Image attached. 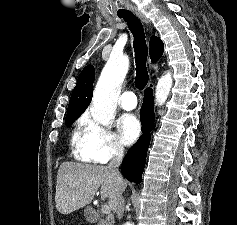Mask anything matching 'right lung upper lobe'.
<instances>
[{
  "instance_id": "right-lung-upper-lobe-1",
  "label": "right lung upper lobe",
  "mask_w": 237,
  "mask_h": 225,
  "mask_svg": "<svg viewBox=\"0 0 237 225\" xmlns=\"http://www.w3.org/2000/svg\"><path fill=\"white\" fill-rule=\"evenodd\" d=\"M164 51L162 41L155 37H151L150 42V58L152 62L160 59ZM94 67L92 65L86 66L80 73L76 86L72 91V95L68 105L67 115L84 112L88 107L92 93L94 82Z\"/></svg>"
}]
</instances>
